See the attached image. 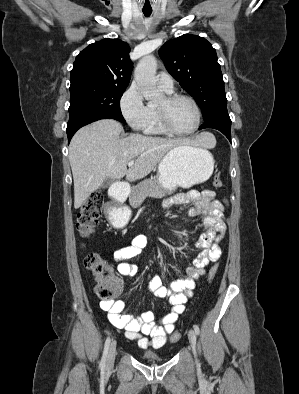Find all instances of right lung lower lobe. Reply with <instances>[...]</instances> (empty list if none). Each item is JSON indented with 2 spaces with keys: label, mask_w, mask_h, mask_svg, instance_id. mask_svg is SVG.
I'll return each instance as SVG.
<instances>
[{
  "label": "right lung lower lobe",
  "mask_w": 299,
  "mask_h": 394,
  "mask_svg": "<svg viewBox=\"0 0 299 394\" xmlns=\"http://www.w3.org/2000/svg\"><path fill=\"white\" fill-rule=\"evenodd\" d=\"M100 119H113V118L109 114L96 113V112H79L70 115L67 124L68 142H70L72 136L79 128Z\"/></svg>",
  "instance_id": "right-lung-lower-lobe-1"
}]
</instances>
